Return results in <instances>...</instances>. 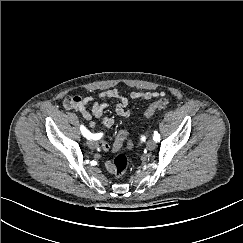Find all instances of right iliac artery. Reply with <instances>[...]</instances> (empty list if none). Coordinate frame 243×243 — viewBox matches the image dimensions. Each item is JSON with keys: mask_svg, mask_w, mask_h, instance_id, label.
Wrapping results in <instances>:
<instances>
[{"mask_svg": "<svg viewBox=\"0 0 243 243\" xmlns=\"http://www.w3.org/2000/svg\"><path fill=\"white\" fill-rule=\"evenodd\" d=\"M81 133L84 137H86L87 139H94V140H98L101 138V134H92L90 131H88L86 129V127H84L83 125H81L80 127Z\"/></svg>", "mask_w": 243, "mask_h": 243, "instance_id": "82829eb1", "label": "right iliac artery"}]
</instances>
